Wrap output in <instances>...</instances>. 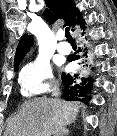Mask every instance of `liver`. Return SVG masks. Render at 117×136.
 Masks as SVG:
<instances>
[{
	"instance_id": "obj_1",
	"label": "liver",
	"mask_w": 117,
	"mask_h": 136,
	"mask_svg": "<svg viewBox=\"0 0 117 136\" xmlns=\"http://www.w3.org/2000/svg\"><path fill=\"white\" fill-rule=\"evenodd\" d=\"M79 104L47 97L25 101L9 119L5 136H57L76 120Z\"/></svg>"
}]
</instances>
